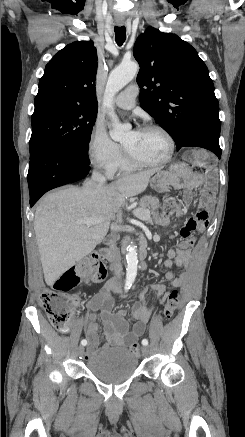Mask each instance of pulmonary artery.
I'll return each mask as SVG.
<instances>
[{"label": "pulmonary artery", "mask_w": 245, "mask_h": 437, "mask_svg": "<svg viewBox=\"0 0 245 437\" xmlns=\"http://www.w3.org/2000/svg\"><path fill=\"white\" fill-rule=\"evenodd\" d=\"M138 92L136 85L127 87L124 91L119 93L114 99L116 106L122 109H131L135 105V99Z\"/></svg>", "instance_id": "1"}]
</instances>
